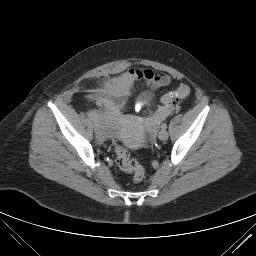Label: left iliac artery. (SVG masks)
Masks as SVG:
<instances>
[{
  "label": "left iliac artery",
  "mask_w": 256,
  "mask_h": 256,
  "mask_svg": "<svg viewBox=\"0 0 256 256\" xmlns=\"http://www.w3.org/2000/svg\"><path fill=\"white\" fill-rule=\"evenodd\" d=\"M161 128L162 129H166L167 128V124H165V123L161 124Z\"/></svg>",
  "instance_id": "left-iliac-artery-1"
}]
</instances>
